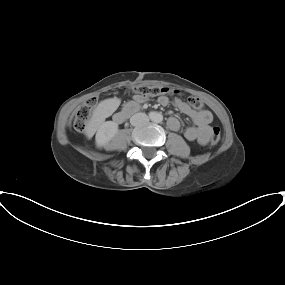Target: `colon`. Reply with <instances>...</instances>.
<instances>
[{"mask_svg": "<svg viewBox=\"0 0 285 285\" xmlns=\"http://www.w3.org/2000/svg\"><path fill=\"white\" fill-rule=\"evenodd\" d=\"M131 93L140 95L142 97H155L159 95H166L172 92H177L169 89L165 86L159 85H148V84H139L133 86L129 89ZM190 106L194 109L200 110L203 108V101L196 96H190L188 98ZM97 98L93 97L87 100L76 112L74 117V128L78 132H83L86 128L87 122L89 121L93 108L96 106ZM221 139V130L219 127L214 126L211 128L210 140L212 145H217Z\"/></svg>", "mask_w": 285, "mask_h": 285, "instance_id": "colon-1", "label": "colon"}]
</instances>
